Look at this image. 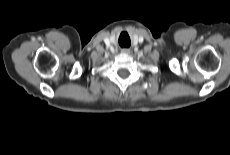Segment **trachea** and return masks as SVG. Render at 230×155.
<instances>
[{
    "instance_id": "trachea-1",
    "label": "trachea",
    "mask_w": 230,
    "mask_h": 155,
    "mask_svg": "<svg viewBox=\"0 0 230 155\" xmlns=\"http://www.w3.org/2000/svg\"><path fill=\"white\" fill-rule=\"evenodd\" d=\"M119 44L122 48H128L130 46V39L129 37H126L124 35H122L119 38Z\"/></svg>"
}]
</instances>
